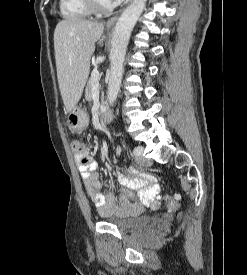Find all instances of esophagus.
Listing matches in <instances>:
<instances>
[{"label":"esophagus","mask_w":247,"mask_h":275,"mask_svg":"<svg viewBox=\"0 0 247 275\" xmlns=\"http://www.w3.org/2000/svg\"><path fill=\"white\" fill-rule=\"evenodd\" d=\"M131 1V0H129ZM122 10H119L118 12H116L111 18L108 19L107 23H106V26L107 27H112L115 25L120 13H121Z\"/></svg>","instance_id":"esophagus-1"}]
</instances>
